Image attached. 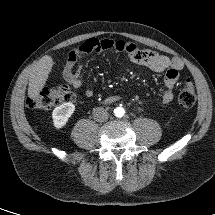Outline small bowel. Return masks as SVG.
Listing matches in <instances>:
<instances>
[{
    "label": "small bowel",
    "mask_w": 215,
    "mask_h": 215,
    "mask_svg": "<svg viewBox=\"0 0 215 215\" xmlns=\"http://www.w3.org/2000/svg\"><path fill=\"white\" fill-rule=\"evenodd\" d=\"M104 50L125 52L131 62L146 66L156 73L165 72V90L159 104L165 106L173 100L174 88L179 79V71L184 67L183 62L176 57H168L152 50L140 49L134 43L124 40H100L96 38L86 40L69 53L63 68L64 80L72 87L80 89L83 85L80 78L83 58L88 54H99ZM84 95L90 98L94 95V92L91 89H86Z\"/></svg>",
    "instance_id": "small-bowel-1"
}]
</instances>
